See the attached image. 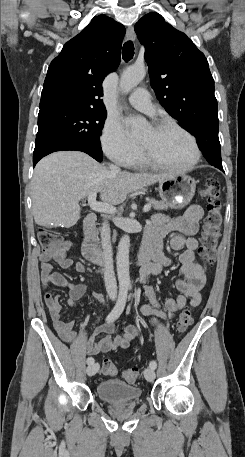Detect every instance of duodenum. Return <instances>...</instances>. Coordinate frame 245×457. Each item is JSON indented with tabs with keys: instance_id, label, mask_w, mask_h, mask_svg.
<instances>
[{
	"instance_id": "duodenum-1",
	"label": "duodenum",
	"mask_w": 245,
	"mask_h": 457,
	"mask_svg": "<svg viewBox=\"0 0 245 457\" xmlns=\"http://www.w3.org/2000/svg\"><path fill=\"white\" fill-rule=\"evenodd\" d=\"M97 217L95 214H89L84 219V247L83 253L85 258L93 264L105 265L107 258L103 251H101L93 241V232L95 228ZM153 257L151 249L142 247L136 256L137 265L147 264Z\"/></svg>"
}]
</instances>
